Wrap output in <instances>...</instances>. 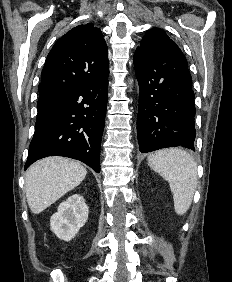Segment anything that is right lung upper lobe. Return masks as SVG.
Wrapping results in <instances>:
<instances>
[{
    "label": "right lung upper lobe",
    "mask_w": 232,
    "mask_h": 282,
    "mask_svg": "<svg viewBox=\"0 0 232 282\" xmlns=\"http://www.w3.org/2000/svg\"><path fill=\"white\" fill-rule=\"evenodd\" d=\"M108 49L100 29L79 25L63 35L49 52L39 94L61 98L72 88L109 74Z\"/></svg>",
    "instance_id": "cb5924a9"
}]
</instances>
